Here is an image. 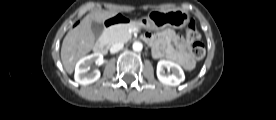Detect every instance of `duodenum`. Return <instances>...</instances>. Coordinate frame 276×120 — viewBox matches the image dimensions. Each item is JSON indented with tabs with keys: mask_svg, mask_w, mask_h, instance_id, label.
I'll return each instance as SVG.
<instances>
[{
	"mask_svg": "<svg viewBox=\"0 0 276 120\" xmlns=\"http://www.w3.org/2000/svg\"><path fill=\"white\" fill-rule=\"evenodd\" d=\"M133 18L127 15H115L114 17L108 18L103 21V26L106 28H111L116 25H122V26H132L133 25ZM95 51L98 54H106L107 52V45L105 42L101 41L99 42L96 47Z\"/></svg>",
	"mask_w": 276,
	"mask_h": 120,
	"instance_id": "obj_1",
	"label": "duodenum"
}]
</instances>
